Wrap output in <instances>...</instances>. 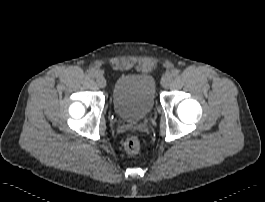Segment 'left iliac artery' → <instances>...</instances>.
<instances>
[{"label":"left iliac artery","instance_id":"obj_1","mask_svg":"<svg viewBox=\"0 0 265 202\" xmlns=\"http://www.w3.org/2000/svg\"><path fill=\"white\" fill-rule=\"evenodd\" d=\"M179 73H180V70H179V69H173V70H172V75H173V76H178Z\"/></svg>","mask_w":265,"mask_h":202}]
</instances>
